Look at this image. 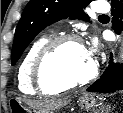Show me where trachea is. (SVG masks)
I'll return each mask as SVG.
<instances>
[{"label": "trachea", "mask_w": 123, "mask_h": 113, "mask_svg": "<svg viewBox=\"0 0 123 113\" xmlns=\"http://www.w3.org/2000/svg\"><path fill=\"white\" fill-rule=\"evenodd\" d=\"M100 17H101V18H108L107 15H101Z\"/></svg>", "instance_id": "trachea-1"}]
</instances>
